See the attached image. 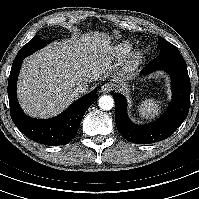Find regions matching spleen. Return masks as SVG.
I'll list each match as a JSON object with an SVG mask.
<instances>
[{"instance_id": "3e777b00", "label": "spleen", "mask_w": 199, "mask_h": 199, "mask_svg": "<svg viewBox=\"0 0 199 199\" xmlns=\"http://www.w3.org/2000/svg\"><path fill=\"white\" fill-rule=\"evenodd\" d=\"M160 108V101H156L155 99H147L140 103L138 111L141 117L152 118L158 114Z\"/></svg>"}]
</instances>
